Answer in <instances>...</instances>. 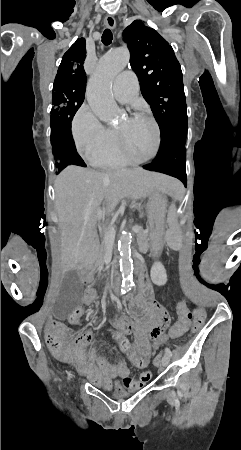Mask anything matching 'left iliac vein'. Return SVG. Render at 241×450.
<instances>
[{
    "label": "left iliac vein",
    "instance_id": "1",
    "mask_svg": "<svg viewBox=\"0 0 241 450\" xmlns=\"http://www.w3.org/2000/svg\"><path fill=\"white\" fill-rule=\"evenodd\" d=\"M170 358L168 355H164L162 358V367L166 368L169 365Z\"/></svg>",
    "mask_w": 241,
    "mask_h": 450
}]
</instances>
